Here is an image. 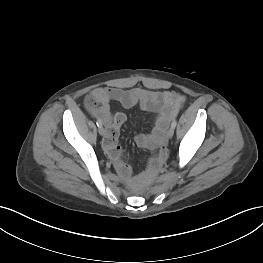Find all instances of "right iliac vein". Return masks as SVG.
<instances>
[{"mask_svg": "<svg viewBox=\"0 0 263 263\" xmlns=\"http://www.w3.org/2000/svg\"><path fill=\"white\" fill-rule=\"evenodd\" d=\"M98 132L101 136L105 135V129L102 126L99 127Z\"/></svg>", "mask_w": 263, "mask_h": 263, "instance_id": "right-iliac-vein-1", "label": "right iliac vein"}]
</instances>
